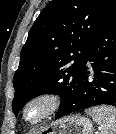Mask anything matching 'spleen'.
Instances as JSON below:
<instances>
[{"mask_svg":"<svg viewBox=\"0 0 116 134\" xmlns=\"http://www.w3.org/2000/svg\"><path fill=\"white\" fill-rule=\"evenodd\" d=\"M86 112L99 125L101 134H116V108L111 106H97Z\"/></svg>","mask_w":116,"mask_h":134,"instance_id":"obj_1","label":"spleen"}]
</instances>
